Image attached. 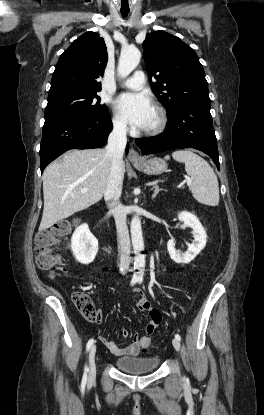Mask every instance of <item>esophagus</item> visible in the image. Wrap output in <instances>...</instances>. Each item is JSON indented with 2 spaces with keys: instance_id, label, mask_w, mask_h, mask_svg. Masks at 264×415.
<instances>
[{
  "instance_id": "esophagus-1",
  "label": "esophagus",
  "mask_w": 264,
  "mask_h": 415,
  "mask_svg": "<svg viewBox=\"0 0 264 415\" xmlns=\"http://www.w3.org/2000/svg\"><path fill=\"white\" fill-rule=\"evenodd\" d=\"M128 158L132 163H137L140 160V155L134 148H131L128 153Z\"/></svg>"
}]
</instances>
